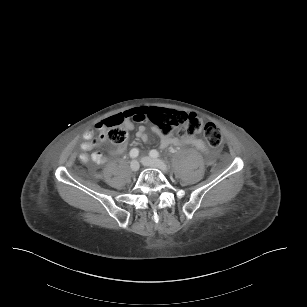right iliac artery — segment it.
<instances>
[{
  "instance_id": "1",
  "label": "right iliac artery",
  "mask_w": 307,
  "mask_h": 307,
  "mask_svg": "<svg viewBox=\"0 0 307 307\" xmlns=\"http://www.w3.org/2000/svg\"><path fill=\"white\" fill-rule=\"evenodd\" d=\"M138 155H139V150H138V149L133 148V149L130 151V157L136 158Z\"/></svg>"
}]
</instances>
